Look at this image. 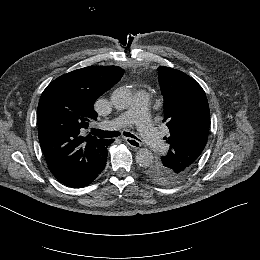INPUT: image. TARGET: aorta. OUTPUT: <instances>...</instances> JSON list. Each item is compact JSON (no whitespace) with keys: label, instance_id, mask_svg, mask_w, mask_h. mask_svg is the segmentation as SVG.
<instances>
[{"label":"aorta","instance_id":"762f6f07","mask_svg":"<svg viewBox=\"0 0 260 260\" xmlns=\"http://www.w3.org/2000/svg\"><path fill=\"white\" fill-rule=\"evenodd\" d=\"M132 101V94L127 88H118L111 95V102L118 110L127 109ZM136 162L141 167H149L153 163V153L147 148H141L135 156Z\"/></svg>","mask_w":260,"mask_h":260}]
</instances>
